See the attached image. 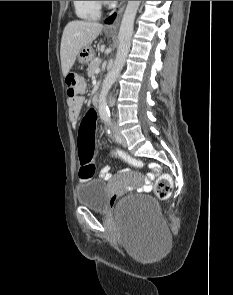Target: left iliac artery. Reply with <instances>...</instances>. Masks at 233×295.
<instances>
[{"instance_id": "left-iliac-artery-1", "label": "left iliac artery", "mask_w": 233, "mask_h": 295, "mask_svg": "<svg viewBox=\"0 0 233 295\" xmlns=\"http://www.w3.org/2000/svg\"><path fill=\"white\" fill-rule=\"evenodd\" d=\"M106 121H107L108 123H110V119H109V118H106ZM115 137H116V141H117V142H120L119 137H118L117 135H115Z\"/></svg>"}]
</instances>
